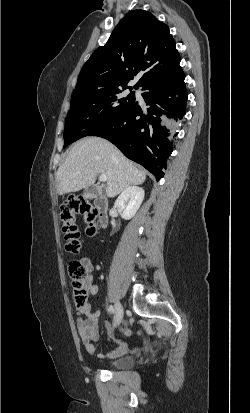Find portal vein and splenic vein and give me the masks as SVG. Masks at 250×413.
Here are the masks:
<instances>
[{"mask_svg": "<svg viewBox=\"0 0 250 413\" xmlns=\"http://www.w3.org/2000/svg\"><path fill=\"white\" fill-rule=\"evenodd\" d=\"M99 180L101 182H105L107 180V176L102 174V175H100Z\"/></svg>", "mask_w": 250, "mask_h": 413, "instance_id": "1", "label": "portal vein and splenic vein"}]
</instances>
